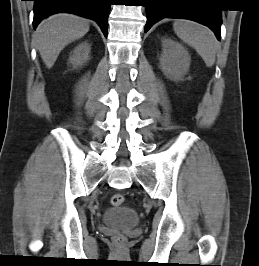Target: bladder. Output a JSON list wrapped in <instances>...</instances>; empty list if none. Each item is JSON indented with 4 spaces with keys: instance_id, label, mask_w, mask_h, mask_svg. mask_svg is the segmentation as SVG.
<instances>
[{
    "instance_id": "obj_1",
    "label": "bladder",
    "mask_w": 259,
    "mask_h": 266,
    "mask_svg": "<svg viewBox=\"0 0 259 266\" xmlns=\"http://www.w3.org/2000/svg\"><path fill=\"white\" fill-rule=\"evenodd\" d=\"M103 220L107 225L131 227L138 223L139 217L133 209L118 206L108 209L104 214Z\"/></svg>"
}]
</instances>
